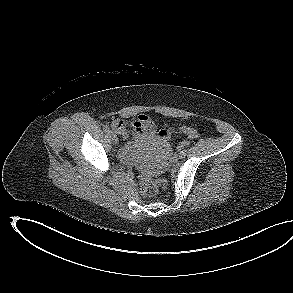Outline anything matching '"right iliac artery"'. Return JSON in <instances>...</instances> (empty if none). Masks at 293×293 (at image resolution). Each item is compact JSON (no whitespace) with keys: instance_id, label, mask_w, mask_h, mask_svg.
Returning a JSON list of instances; mask_svg holds the SVG:
<instances>
[{"instance_id":"obj_1","label":"right iliac artery","mask_w":293,"mask_h":293,"mask_svg":"<svg viewBox=\"0 0 293 293\" xmlns=\"http://www.w3.org/2000/svg\"><path fill=\"white\" fill-rule=\"evenodd\" d=\"M104 131H105V132H108V133L111 132V131H110V128H109L108 125H105V126H104Z\"/></svg>"}]
</instances>
